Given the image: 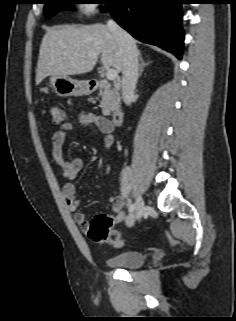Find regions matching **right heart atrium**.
<instances>
[{
  "label": "right heart atrium",
  "mask_w": 236,
  "mask_h": 321,
  "mask_svg": "<svg viewBox=\"0 0 236 321\" xmlns=\"http://www.w3.org/2000/svg\"><path fill=\"white\" fill-rule=\"evenodd\" d=\"M101 11V6L94 0H86L85 3L81 5V12L85 16H93Z\"/></svg>",
  "instance_id": "right-heart-atrium-1"
}]
</instances>
